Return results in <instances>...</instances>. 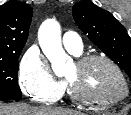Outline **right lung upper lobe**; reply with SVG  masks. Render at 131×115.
Returning <instances> with one entry per match:
<instances>
[{
	"label": "right lung upper lobe",
	"mask_w": 131,
	"mask_h": 115,
	"mask_svg": "<svg viewBox=\"0 0 131 115\" xmlns=\"http://www.w3.org/2000/svg\"><path fill=\"white\" fill-rule=\"evenodd\" d=\"M32 8L10 0L0 6V56L22 51L32 19Z\"/></svg>",
	"instance_id": "right-lung-upper-lobe-1"
}]
</instances>
